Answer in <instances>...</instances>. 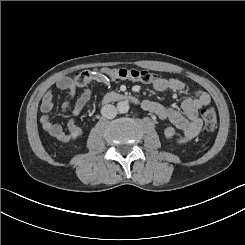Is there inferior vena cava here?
<instances>
[{
	"label": "inferior vena cava",
	"mask_w": 245,
	"mask_h": 245,
	"mask_svg": "<svg viewBox=\"0 0 245 245\" xmlns=\"http://www.w3.org/2000/svg\"><path fill=\"white\" fill-rule=\"evenodd\" d=\"M101 114L103 117H105L107 119H113L117 115V109L115 106H113L111 104H107V105L102 107Z\"/></svg>",
	"instance_id": "602c4592"
}]
</instances>
